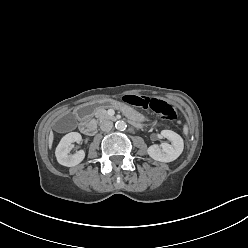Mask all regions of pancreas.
<instances>
[{
	"label": "pancreas",
	"mask_w": 248,
	"mask_h": 248,
	"mask_svg": "<svg viewBox=\"0 0 248 248\" xmlns=\"http://www.w3.org/2000/svg\"><path fill=\"white\" fill-rule=\"evenodd\" d=\"M95 117L99 122L112 119V117L108 115L106 107H99L95 112Z\"/></svg>",
	"instance_id": "cf45deb5"
}]
</instances>
